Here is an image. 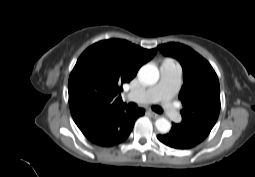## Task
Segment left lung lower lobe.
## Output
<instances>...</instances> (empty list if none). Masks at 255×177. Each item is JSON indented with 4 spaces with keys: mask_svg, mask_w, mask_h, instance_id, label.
I'll list each match as a JSON object with an SVG mask.
<instances>
[{
    "mask_svg": "<svg viewBox=\"0 0 255 177\" xmlns=\"http://www.w3.org/2000/svg\"><path fill=\"white\" fill-rule=\"evenodd\" d=\"M157 138L163 144L175 149H189L201 143L206 137L188 131L180 124L172 123L171 131Z\"/></svg>",
    "mask_w": 255,
    "mask_h": 177,
    "instance_id": "0a47b994",
    "label": "left lung lower lobe"
}]
</instances>
